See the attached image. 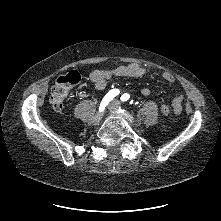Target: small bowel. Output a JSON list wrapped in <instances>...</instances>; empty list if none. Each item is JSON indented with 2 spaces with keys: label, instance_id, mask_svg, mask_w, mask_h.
<instances>
[{
  "label": "small bowel",
  "instance_id": "obj_1",
  "mask_svg": "<svg viewBox=\"0 0 221 221\" xmlns=\"http://www.w3.org/2000/svg\"><path fill=\"white\" fill-rule=\"evenodd\" d=\"M146 70L138 64L132 63L128 65H121L115 68L96 69L90 73V80L94 83L96 89L102 90L105 88L109 79L114 76L140 78L144 76ZM162 77L169 83L175 81L174 76L170 72H163ZM142 94L149 96L151 94L150 89L143 88ZM183 95H178L172 100L171 107L174 114H180L183 109Z\"/></svg>",
  "mask_w": 221,
  "mask_h": 221
}]
</instances>
